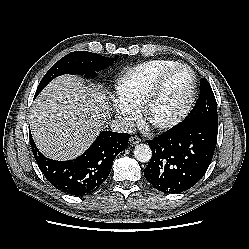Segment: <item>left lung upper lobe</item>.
<instances>
[{
  "label": "left lung upper lobe",
  "instance_id": "1",
  "mask_svg": "<svg viewBox=\"0 0 249 249\" xmlns=\"http://www.w3.org/2000/svg\"><path fill=\"white\" fill-rule=\"evenodd\" d=\"M201 92L192 111L184 122H208L218 124L217 103L212 88L205 78L201 79Z\"/></svg>",
  "mask_w": 249,
  "mask_h": 249
}]
</instances>
